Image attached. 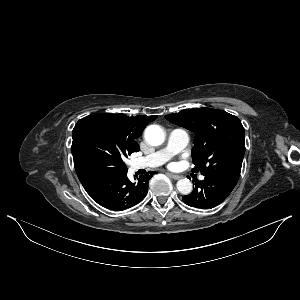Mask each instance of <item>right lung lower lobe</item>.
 <instances>
[{
  "label": "right lung lower lobe",
  "mask_w": 300,
  "mask_h": 300,
  "mask_svg": "<svg viewBox=\"0 0 300 300\" xmlns=\"http://www.w3.org/2000/svg\"><path fill=\"white\" fill-rule=\"evenodd\" d=\"M155 172L150 171L131 182L127 173L100 172L80 180L89 196L99 205L122 211L140 203L148 192V183Z\"/></svg>",
  "instance_id": "obj_1"
}]
</instances>
